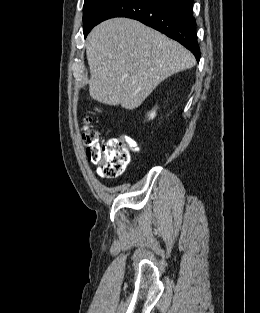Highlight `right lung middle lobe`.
Here are the masks:
<instances>
[{"label": "right lung middle lobe", "mask_w": 260, "mask_h": 313, "mask_svg": "<svg viewBox=\"0 0 260 313\" xmlns=\"http://www.w3.org/2000/svg\"><path fill=\"white\" fill-rule=\"evenodd\" d=\"M116 1L117 0H85L83 7V32L85 37L98 23L102 15Z\"/></svg>", "instance_id": "dd1d6c3e"}]
</instances>
